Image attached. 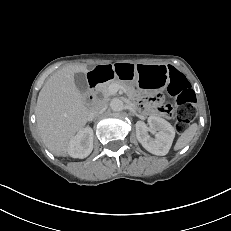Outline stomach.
<instances>
[{"label":"stomach","mask_w":231,"mask_h":231,"mask_svg":"<svg viewBox=\"0 0 231 231\" xmlns=\"http://www.w3.org/2000/svg\"><path fill=\"white\" fill-rule=\"evenodd\" d=\"M116 68L126 69L127 79L150 93L161 92L169 84V68L163 64L122 63Z\"/></svg>","instance_id":"1"}]
</instances>
